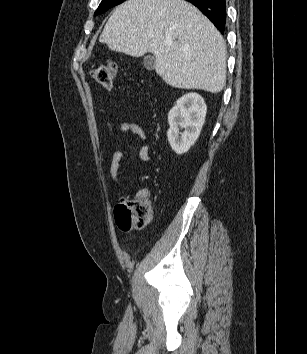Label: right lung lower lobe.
<instances>
[{"label":"right lung lower lobe","mask_w":307,"mask_h":354,"mask_svg":"<svg viewBox=\"0 0 307 354\" xmlns=\"http://www.w3.org/2000/svg\"><path fill=\"white\" fill-rule=\"evenodd\" d=\"M205 14L217 29L224 33L226 28V0H186Z\"/></svg>","instance_id":"right-lung-lower-lobe-1"}]
</instances>
